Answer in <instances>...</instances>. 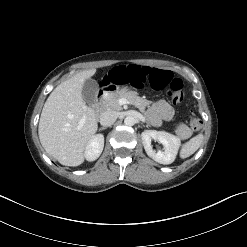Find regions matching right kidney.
<instances>
[{"label":"right kidney","mask_w":247,"mask_h":247,"mask_svg":"<svg viewBox=\"0 0 247 247\" xmlns=\"http://www.w3.org/2000/svg\"><path fill=\"white\" fill-rule=\"evenodd\" d=\"M104 148V136L97 134L93 136L85 149V158L88 161L96 160L102 153Z\"/></svg>","instance_id":"ca27d5eb"}]
</instances>
